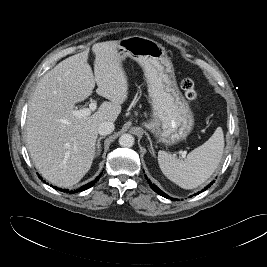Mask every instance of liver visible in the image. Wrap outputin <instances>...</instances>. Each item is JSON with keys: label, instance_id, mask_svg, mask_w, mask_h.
<instances>
[{"label": "liver", "instance_id": "obj_1", "mask_svg": "<svg viewBox=\"0 0 267 267\" xmlns=\"http://www.w3.org/2000/svg\"><path fill=\"white\" fill-rule=\"evenodd\" d=\"M119 41L94 44V75L88 51L66 58L38 82L28 104L27 146L42 176L59 187L77 184L95 157L98 127L115 122L128 96V79L117 54ZM110 100L86 117L72 114L75 104L95 88Z\"/></svg>", "mask_w": 267, "mask_h": 267}]
</instances>
